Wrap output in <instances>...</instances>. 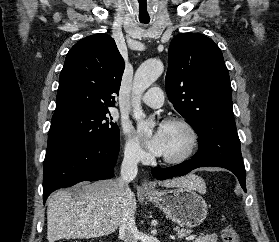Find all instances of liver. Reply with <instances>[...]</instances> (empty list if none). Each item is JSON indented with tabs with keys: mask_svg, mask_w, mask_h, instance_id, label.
<instances>
[{
	"mask_svg": "<svg viewBox=\"0 0 279 242\" xmlns=\"http://www.w3.org/2000/svg\"><path fill=\"white\" fill-rule=\"evenodd\" d=\"M159 184L164 187H189L201 193L206 192L204 181L195 175L162 181ZM81 188V196L68 190H60L49 197L48 242L106 236L118 228L122 204L119 179L82 183ZM132 208L136 211L134 194Z\"/></svg>",
	"mask_w": 279,
	"mask_h": 242,
	"instance_id": "obj_1",
	"label": "liver"
}]
</instances>
